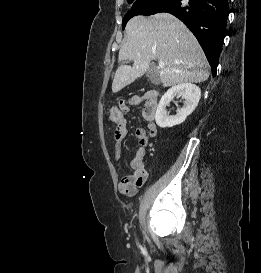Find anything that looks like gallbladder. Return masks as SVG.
<instances>
[{
    "label": "gallbladder",
    "mask_w": 261,
    "mask_h": 273,
    "mask_svg": "<svg viewBox=\"0 0 261 273\" xmlns=\"http://www.w3.org/2000/svg\"><path fill=\"white\" fill-rule=\"evenodd\" d=\"M146 76L148 77V79L152 82V83H158L159 81V76H158V71L157 69L154 67L153 64L150 65Z\"/></svg>",
    "instance_id": "obj_1"
}]
</instances>
